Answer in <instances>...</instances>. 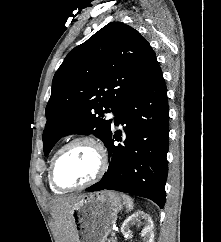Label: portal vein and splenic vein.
<instances>
[{"label": "portal vein and splenic vein", "mask_w": 221, "mask_h": 242, "mask_svg": "<svg viewBox=\"0 0 221 242\" xmlns=\"http://www.w3.org/2000/svg\"><path fill=\"white\" fill-rule=\"evenodd\" d=\"M117 230V228H113V231H112V236H115V231Z\"/></svg>", "instance_id": "1"}]
</instances>
